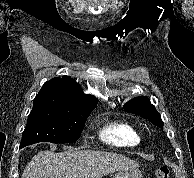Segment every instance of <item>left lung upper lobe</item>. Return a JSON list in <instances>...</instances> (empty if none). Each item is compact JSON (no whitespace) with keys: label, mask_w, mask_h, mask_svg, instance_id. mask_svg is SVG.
Returning a JSON list of instances; mask_svg holds the SVG:
<instances>
[{"label":"left lung upper lobe","mask_w":194,"mask_h":178,"mask_svg":"<svg viewBox=\"0 0 194 178\" xmlns=\"http://www.w3.org/2000/svg\"><path fill=\"white\" fill-rule=\"evenodd\" d=\"M124 110L128 113L139 115L156 126L163 127L164 123L161 120V115L157 112L155 106L151 104L147 96H139L128 101L124 105Z\"/></svg>","instance_id":"left-lung-upper-lobe-1"}]
</instances>
